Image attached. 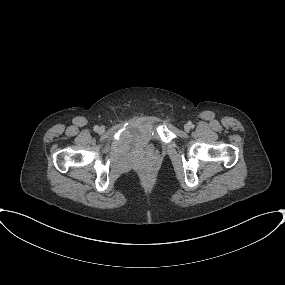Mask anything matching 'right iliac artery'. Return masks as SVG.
I'll return each instance as SVG.
<instances>
[{
    "label": "right iliac artery",
    "mask_w": 285,
    "mask_h": 285,
    "mask_svg": "<svg viewBox=\"0 0 285 285\" xmlns=\"http://www.w3.org/2000/svg\"><path fill=\"white\" fill-rule=\"evenodd\" d=\"M99 127L96 125L94 126V131H98Z\"/></svg>",
    "instance_id": "82829eb1"
}]
</instances>
